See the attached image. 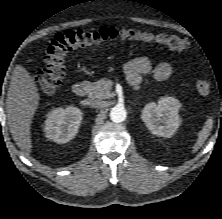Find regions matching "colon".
<instances>
[{
    "mask_svg": "<svg viewBox=\"0 0 222 219\" xmlns=\"http://www.w3.org/2000/svg\"><path fill=\"white\" fill-rule=\"evenodd\" d=\"M115 40L156 42L175 51H183L189 45L185 38L177 35L153 34L137 29L103 27L96 30L65 31L55 36L45 52V67L36 76L39 89L49 93L62 85L67 74V55L71 50ZM196 90L201 95L209 94L211 82L207 79L198 80Z\"/></svg>",
    "mask_w": 222,
    "mask_h": 219,
    "instance_id": "obj_1",
    "label": "colon"
}]
</instances>
